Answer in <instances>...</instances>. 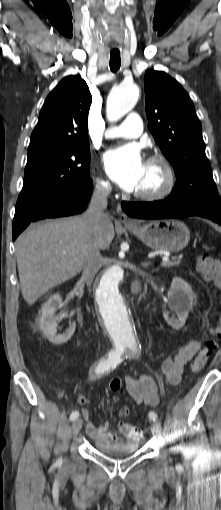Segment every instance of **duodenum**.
Returning <instances> with one entry per match:
<instances>
[{
	"label": "duodenum",
	"instance_id": "1",
	"mask_svg": "<svg viewBox=\"0 0 221 510\" xmlns=\"http://www.w3.org/2000/svg\"><path fill=\"white\" fill-rule=\"evenodd\" d=\"M140 289V284L138 282H136L134 285H133V291L134 292H138Z\"/></svg>",
	"mask_w": 221,
	"mask_h": 510
}]
</instances>
